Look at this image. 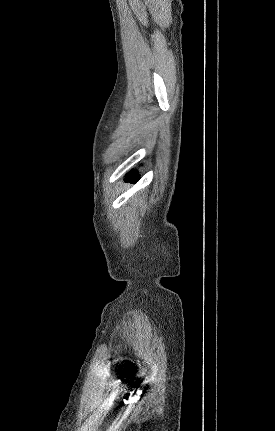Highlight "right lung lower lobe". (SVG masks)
Returning a JSON list of instances; mask_svg holds the SVG:
<instances>
[{"mask_svg": "<svg viewBox=\"0 0 275 431\" xmlns=\"http://www.w3.org/2000/svg\"><path fill=\"white\" fill-rule=\"evenodd\" d=\"M139 179V176L136 173L127 174V181H131L135 183Z\"/></svg>", "mask_w": 275, "mask_h": 431, "instance_id": "obj_1", "label": "right lung lower lobe"}]
</instances>
